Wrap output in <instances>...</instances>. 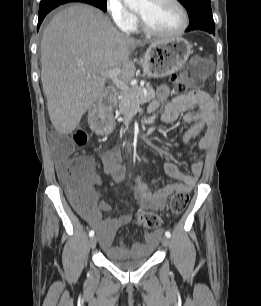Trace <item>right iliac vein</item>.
<instances>
[{
	"label": "right iliac vein",
	"mask_w": 261,
	"mask_h": 306,
	"mask_svg": "<svg viewBox=\"0 0 261 306\" xmlns=\"http://www.w3.org/2000/svg\"><path fill=\"white\" fill-rule=\"evenodd\" d=\"M97 238L96 236H92L89 240L90 247L94 249L96 247Z\"/></svg>",
	"instance_id": "1"
}]
</instances>
